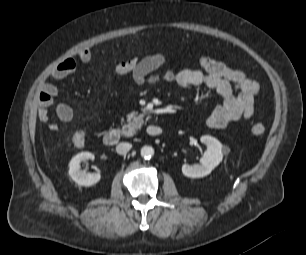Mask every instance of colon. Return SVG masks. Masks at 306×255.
I'll use <instances>...</instances> for the list:
<instances>
[{
    "instance_id": "obj_1",
    "label": "colon",
    "mask_w": 306,
    "mask_h": 255,
    "mask_svg": "<svg viewBox=\"0 0 306 255\" xmlns=\"http://www.w3.org/2000/svg\"><path fill=\"white\" fill-rule=\"evenodd\" d=\"M137 63H138V59L136 58L126 59V60L120 61L116 65L115 70L119 74H129L133 70V68L136 66ZM264 132H265V127L260 123L254 124L251 127V133L256 137L263 135ZM85 141H86L85 131L79 130L74 133L72 137V142L74 146L82 147L84 146Z\"/></svg>"
}]
</instances>
